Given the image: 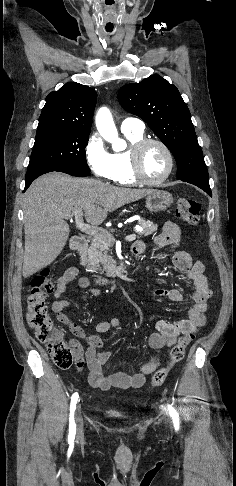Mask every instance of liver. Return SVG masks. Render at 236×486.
<instances>
[{"label":"liver","instance_id":"obj_1","mask_svg":"<svg viewBox=\"0 0 236 486\" xmlns=\"http://www.w3.org/2000/svg\"><path fill=\"white\" fill-rule=\"evenodd\" d=\"M152 189H130L91 178H75L52 172L36 179L24 194L25 248L22 275L28 278L51 264L69 237L62 217L84 210L86 221L98 226L108 212L137 201Z\"/></svg>","mask_w":236,"mask_h":486}]
</instances>
